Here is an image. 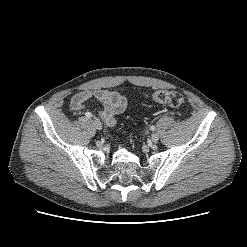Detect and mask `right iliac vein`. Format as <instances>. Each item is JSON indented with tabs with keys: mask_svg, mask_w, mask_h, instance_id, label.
I'll return each instance as SVG.
<instances>
[{
	"mask_svg": "<svg viewBox=\"0 0 247 247\" xmlns=\"http://www.w3.org/2000/svg\"><path fill=\"white\" fill-rule=\"evenodd\" d=\"M92 122L97 130L102 129V123L98 119H93Z\"/></svg>",
	"mask_w": 247,
	"mask_h": 247,
	"instance_id": "1",
	"label": "right iliac vein"
}]
</instances>
